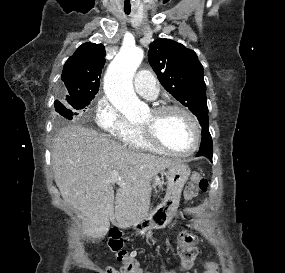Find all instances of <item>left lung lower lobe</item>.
Listing matches in <instances>:
<instances>
[{"mask_svg": "<svg viewBox=\"0 0 285 273\" xmlns=\"http://www.w3.org/2000/svg\"><path fill=\"white\" fill-rule=\"evenodd\" d=\"M197 156H206L212 161V156H213L212 138L209 133L208 126L203 127L202 129V141Z\"/></svg>", "mask_w": 285, "mask_h": 273, "instance_id": "0a47b994", "label": "left lung lower lobe"}]
</instances>
